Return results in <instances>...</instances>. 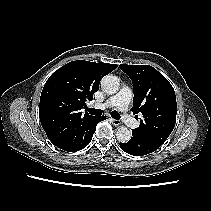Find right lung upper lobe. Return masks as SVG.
I'll return each mask as SVG.
<instances>
[{"label":"right lung upper lobe","mask_w":211,"mask_h":211,"mask_svg":"<svg viewBox=\"0 0 211 211\" xmlns=\"http://www.w3.org/2000/svg\"><path fill=\"white\" fill-rule=\"evenodd\" d=\"M116 68L115 64L78 60L65 64L48 78L40 97L39 117L55 146L65 143L95 118L81 109L93 99L101 79Z\"/></svg>","instance_id":"obj_1"}]
</instances>
